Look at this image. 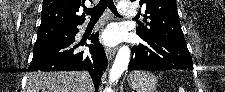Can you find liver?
I'll return each mask as SVG.
<instances>
[{"instance_id":"liver-1","label":"liver","mask_w":225,"mask_h":92,"mask_svg":"<svg viewBox=\"0 0 225 92\" xmlns=\"http://www.w3.org/2000/svg\"><path fill=\"white\" fill-rule=\"evenodd\" d=\"M90 75L85 71L31 72L26 92H93Z\"/></svg>"}]
</instances>
